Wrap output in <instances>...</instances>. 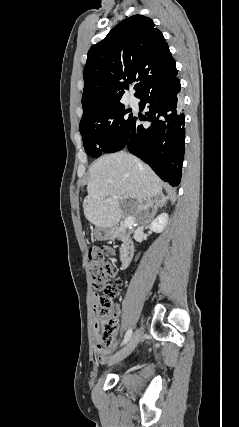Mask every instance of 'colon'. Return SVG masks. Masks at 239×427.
<instances>
[{"mask_svg": "<svg viewBox=\"0 0 239 427\" xmlns=\"http://www.w3.org/2000/svg\"><path fill=\"white\" fill-rule=\"evenodd\" d=\"M113 254L109 248H91L89 250V272L93 288L103 292L96 307L97 327L100 331L97 350L107 351L113 344V335L116 329V315L113 309V299L117 296L115 268L113 264L105 261L106 257Z\"/></svg>", "mask_w": 239, "mask_h": 427, "instance_id": "obj_1", "label": "colon"}]
</instances>
